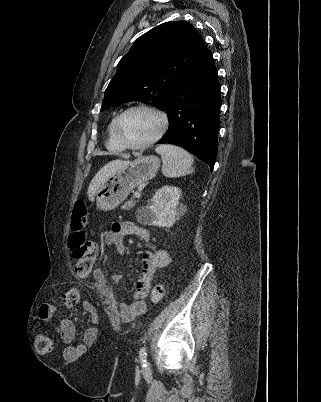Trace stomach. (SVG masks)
I'll return each mask as SVG.
<instances>
[{
	"mask_svg": "<svg viewBox=\"0 0 321 402\" xmlns=\"http://www.w3.org/2000/svg\"><path fill=\"white\" fill-rule=\"evenodd\" d=\"M160 167L154 155L141 156L116 171L98 188L94 198L97 208L109 211L121 204L130 192L141 183L152 179Z\"/></svg>",
	"mask_w": 321,
	"mask_h": 402,
	"instance_id": "obj_1",
	"label": "stomach"
}]
</instances>
